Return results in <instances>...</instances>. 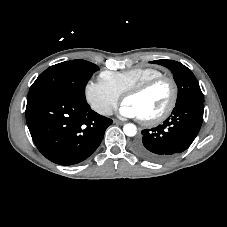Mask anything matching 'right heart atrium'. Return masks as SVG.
Returning a JSON list of instances; mask_svg holds the SVG:
<instances>
[{
	"mask_svg": "<svg viewBox=\"0 0 227 227\" xmlns=\"http://www.w3.org/2000/svg\"><path fill=\"white\" fill-rule=\"evenodd\" d=\"M90 107L100 115L108 116L118 105L120 96L101 80L88 81L84 89Z\"/></svg>",
	"mask_w": 227,
	"mask_h": 227,
	"instance_id": "d8ad5b80",
	"label": "right heart atrium"
}]
</instances>
